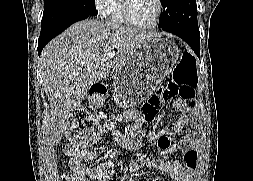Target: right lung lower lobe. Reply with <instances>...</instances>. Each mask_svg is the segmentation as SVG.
Returning a JSON list of instances; mask_svg holds the SVG:
<instances>
[{"label":"right lung lower lobe","instance_id":"right-lung-lower-lobe-1","mask_svg":"<svg viewBox=\"0 0 253 181\" xmlns=\"http://www.w3.org/2000/svg\"><path fill=\"white\" fill-rule=\"evenodd\" d=\"M90 15L88 14H76L71 15L63 20L55 22L50 25H46L41 27V33L38 40V54L40 55L43 47L55 36L63 32L66 28H68L71 24L84 20Z\"/></svg>","mask_w":253,"mask_h":181}]
</instances>
